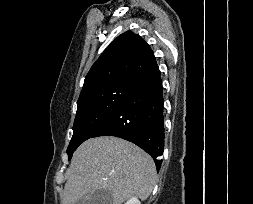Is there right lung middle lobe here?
<instances>
[{"mask_svg": "<svg viewBox=\"0 0 253 204\" xmlns=\"http://www.w3.org/2000/svg\"><path fill=\"white\" fill-rule=\"evenodd\" d=\"M135 82L120 81L92 89L77 101L73 136L67 148L68 159L85 140L92 138L132 90Z\"/></svg>", "mask_w": 253, "mask_h": 204, "instance_id": "dd1d6c3e", "label": "right lung middle lobe"}]
</instances>
